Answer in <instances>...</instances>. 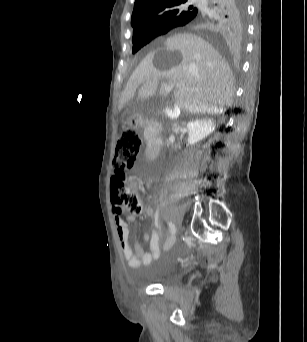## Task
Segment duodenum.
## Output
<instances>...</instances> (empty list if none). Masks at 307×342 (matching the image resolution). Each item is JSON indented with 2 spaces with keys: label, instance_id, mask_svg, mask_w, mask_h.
Masks as SVG:
<instances>
[{
  "label": "duodenum",
  "instance_id": "obj_1",
  "mask_svg": "<svg viewBox=\"0 0 307 342\" xmlns=\"http://www.w3.org/2000/svg\"><path fill=\"white\" fill-rule=\"evenodd\" d=\"M156 117H127L126 125L129 127L131 124L136 128H152L148 137V145L146 148V158L151 159L157 156L163 146L164 137L159 125L156 124Z\"/></svg>",
  "mask_w": 307,
  "mask_h": 342
}]
</instances>
